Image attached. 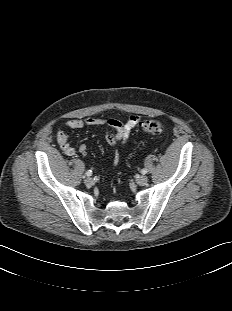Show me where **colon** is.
Segmentation results:
<instances>
[{
  "label": "colon",
  "mask_w": 232,
  "mask_h": 311,
  "mask_svg": "<svg viewBox=\"0 0 232 311\" xmlns=\"http://www.w3.org/2000/svg\"><path fill=\"white\" fill-rule=\"evenodd\" d=\"M138 127L149 134L162 133L165 131V125L157 119H150L138 125Z\"/></svg>",
  "instance_id": "5ec220e1"
}]
</instances>
